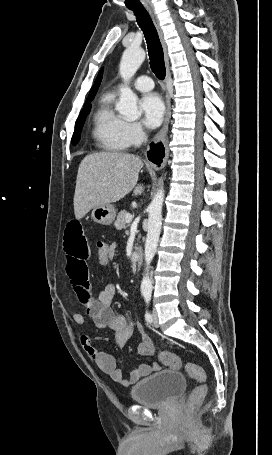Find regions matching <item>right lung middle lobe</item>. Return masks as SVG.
Here are the masks:
<instances>
[{
	"instance_id": "dd1d6c3e",
	"label": "right lung middle lobe",
	"mask_w": 272,
	"mask_h": 455,
	"mask_svg": "<svg viewBox=\"0 0 272 455\" xmlns=\"http://www.w3.org/2000/svg\"><path fill=\"white\" fill-rule=\"evenodd\" d=\"M90 101H87L85 102L84 104V107L83 109L81 110L80 112V115L75 123V131L73 133V137H72V144L75 145L79 142L80 140V130L84 124V121H85V118L87 116V114L89 113L90 109H91V105H90Z\"/></svg>"
}]
</instances>
